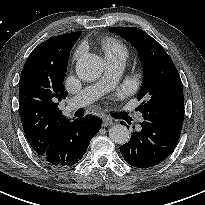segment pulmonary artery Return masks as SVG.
Wrapping results in <instances>:
<instances>
[{"instance_id":"obj_1","label":"pulmonary artery","mask_w":205,"mask_h":205,"mask_svg":"<svg viewBox=\"0 0 205 205\" xmlns=\"http://www.w3.org/2000/svg\"><path fill=\"white\" fill-rule=\"evenodd\" d=\"M126 60L123 58H105V74L102 79L90 86L85 87L75 95L69 103L68 110H75L84 107L97 98L112 85H114L122 74ZM143 119L139 118V122Z\"/></svg>"}]
</instances>
